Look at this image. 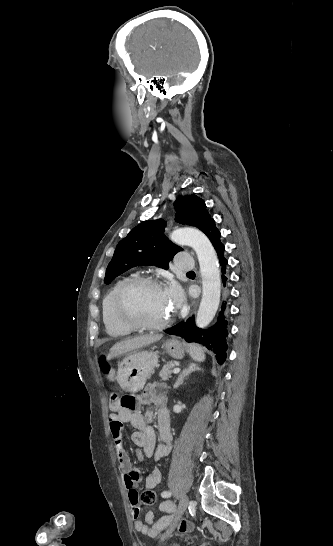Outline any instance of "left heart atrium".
<instances>
[{
	"label": "left heart atrium",
	"instance_id": "left-heart-atrium-1",
	"mask_svg": "<svg viewBox=\"0 0 333 546\" xmlns=\"http://www.w3.org/2000/svg\"><path fill=\"white\" fill-rule=\"evenodd\" d=\"M164 290L172 309L180 307L183 300L180 288L175 283H171Z\"/></svg>",
	"mask_w": 333,
	"mask_h": 546
}]
</instances>
